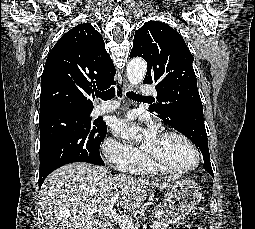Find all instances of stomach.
<instances>
[{
    "instance_id": "0dacf381",
    "label": "stomach",
    "mask_w": 255,
    "mask_h": 229,
    "mask_svg": "<svg viewBox=\"0 0 255 229\" xmlns=\"http://www.w3.org/2000/svg\"><path fill=\"white\" fill-rule=\"evenodd\" d=\"M162 207L157 211L156 217L166 226L184 220L199 204L202 198L200 186L187 179L169 183L164 192Z\"/></svg>"
}]
</instances>
